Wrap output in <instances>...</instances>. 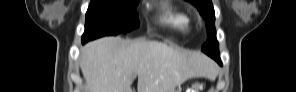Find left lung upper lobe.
I'll return each instance as SVG.
<instances>
[{"label": "left lung upper lobe", "instance_id": "5c2ea615", "mask_svg": "<svg viewBox=\"0 0 296 92\" xmlns=\"http://www.w3.org/2000/svg\"><path fill=\"white\" fill-rule=\"evenodd\" d=\"M195 5L201 16L205 19L207 28V41L202 46V51L217 61H220L219 46L216 39V30L214 26L215 13L211 0H186Z\"/></svg>", "mask_w": 296, "mask_h": 92}]
</instances>
